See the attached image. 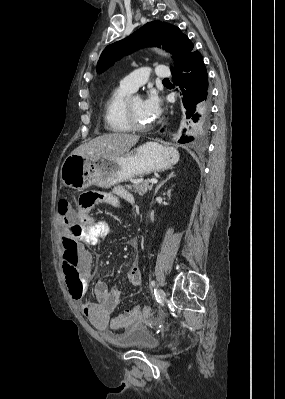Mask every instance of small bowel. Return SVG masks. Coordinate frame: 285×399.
I'll return each mask as SVG.
<instances>
[{
    "instance_id": "c3829d8e",
    "label": "small bowel",
    "mask_w": 285,
    "mask_h": 399,
    "mask_svg": "<svg viewBox=\"0 0 285 399\" xmlns=\"http://www.w3.org/2000/svg\"><path fill=\"white\" fill-rule=\"evenodd\" d=\"M98 202L101 203H112L120 204L124 202L131 207H134L136 202L133 195L125 189H116L112 195L106 193H97ZM91 208L80 207V215L88 217ZM58 219L64 223L63 228L59 233V242L61 245L60 256L64 258L66 253L75 249L77 253L78 263L82 274V292L79 298H72L80 302V308L83 315L100 331H113L120 333L125 328H112L111 326V313L117 307L120 298L121 290L115 288L109 289L108 285L103 282H96L93 286L95 298L94 302H87L83 300L84 294L90 288V272L92 269V255L84 249L79 243L87 242L89 244H97L102 238L110 234L114 227L104 220H89L85 223H77L79 213L72 209L62 215L60 210L57 211ZM132 243L136 242L132 240ZM127 281L134 287H138L142 284V275L138 265V261L135 260L131 265L130 270L126 274ZM144 318L139 319L135 323H138Z\"/></svg>"
}]
</instances>
